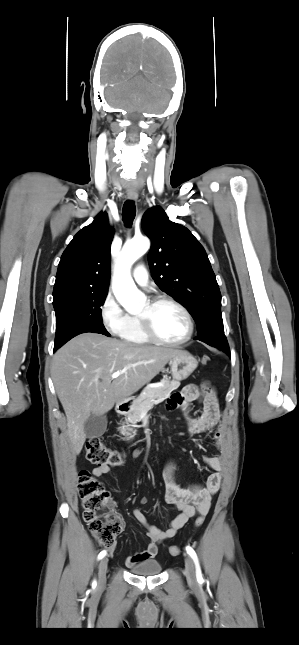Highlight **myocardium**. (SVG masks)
Returning <instances> with one entry per match:
<instances>
[{
  "instance_id": "f54148a6",
  "label": "myocardium",
  "mask_w": 299,
  "mask_h": 645,
  "mask_svg": "<svg viewBox=\"0 0 299 645\" xmlns=\"http://www.w3.org/2000/svg\"><path fill=\"white\" fill-rule=\"evenodd\" d=\"M148 308L147 310L139 314L137 317L139 319V322L141 324V328L146 335V337L154 343L161 344V345H167V346H179L182 345L186 342H188L194 333V320L193 317L190 313V311L178 300L170 297V296H165V295H160V296H155L153 298H150L148 301ZM171 304L178 308L184 315L186 321H187V332L186 334L178 339V340H166L161 338L160 336L157 335L155 332L153 325H152V319H151V311L158 305L160 304Z\"/></svg>"
}]
</instances>
